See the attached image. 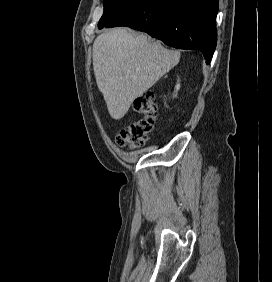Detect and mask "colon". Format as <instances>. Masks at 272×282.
<instances>
[{
    "label": "colon",
    "mask_w": 272,
    "mask_h": 282,
    "mask_svg": "<svg viewBox=\"0 0 272 282\" xmlns=\"http://www.w3.org/2000/svg\"><path fill=\"white\" fill-rule=\"evenodd\" d=\"M133 110L142 115L141 118L130 122L116 136L120 147L129 149L141 148L155 130L157 104L152 93H146L133 103Z\"/></svg>",
    "instance_id": "colon-1"
}]
</instances>
